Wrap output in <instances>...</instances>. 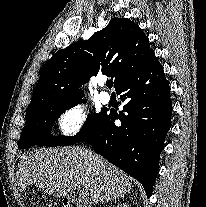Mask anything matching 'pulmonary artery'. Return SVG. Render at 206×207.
<instances>
[{"label": "pulmonary artery", "mask_w": 206, "mask_h": 207, "mask_svg": "<svg viewBox=\"0 0 206 207\" xmlns=\"http://www.w3.org/2000/svg\"><path fill=\"white\" fill-rule=\"evenodd\" d=\"M111 100V95L107 91H102L100 93V101L103 104H108Z\"/></svg>", "instance_id": "1"}]
</instances>
